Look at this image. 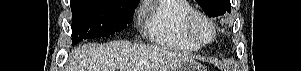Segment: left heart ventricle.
<instances>
[{
    "instance_id": "left-heart-ventricle-1",
    "label": "left heart ventricle",
    "mask_w": 301,
    "mask_h": 71,
    "mask_svg": "<svg viewBox=\"0 0 301 71\" xmlns=\"http://www.w3.org/2000/svg\"><path fill=\"white\" fill-rule=\"evenodd\" d=\"M196 32L198 34V37L202 40H209L211 37V29L203 21H198L196 23Z\"/></svg>"
}]
</instances>
